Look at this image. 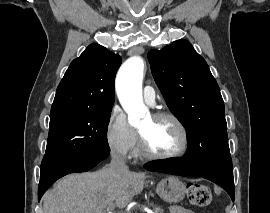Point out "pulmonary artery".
I'll list each match as a JSON object with an SVG mask.
<instances>
[{
  "mask_svg": "<svg viewBox=\"0 0 270 213\" xmlns=\"http://www.w3.org/2000/svg\"><path fill=\"white\" fill-rule=\"evenodd\" d=\"M144 101L149 105H154L156 92L151 86H146L143 91Z\"/></svg>",
  "mask_w": 270,
  "mask_h": 213,
  "instance_id": "obj_1",
  "label": "pulmonary artery"
}]
</instances>
